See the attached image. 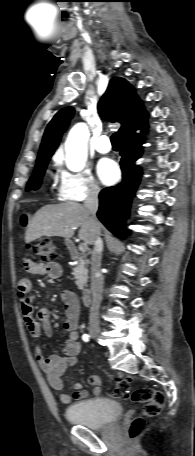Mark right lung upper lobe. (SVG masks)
Wrapping results in <instances>:
<instances>
[{
  "instance_id": "cb5924a9",
  "label": "right lung upper lobe",
  "mask_w": 195,
  "mask_h": 456,
  "mask_svg": "<svg viewBox=\"0 0 195 456\" xmlns=\"http://www.w3.org/2000/svg\"><path fill=\"white\" fill-rule=\"evenodd\" d=\"M100 115L111 122H120L119 132L122 138L135 133L146 124L147 112L133 87L123 78L111 79L106 93L99 103ZM74 109L66 107L60 110L48 124L40 146L37 162L51 157L57 148L62 133L73 117Z\"/></svg>"
}]
</instances>
